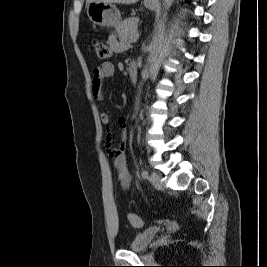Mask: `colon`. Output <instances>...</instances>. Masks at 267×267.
<instances>
[{
	"label": "colon",
	"mask_w": 267,
	"mask_h": 267,
	"mask_svg": "<svg viewBox=\"0 0 267 267\" xmlns=\"http://www.w3.org/2000/svg\"><path fill=\"white\" fill-rule=\"evenodd\" d=\"M94 49H95L96 55L101 59H106V58H109L111 56L110 47L107 44H105L99 40H96L94 42ZM128 220H129L130 224L135 228H140L143 225L142 219L134 213H130L128 215Z\"/></svg>",
	"instance_id": "obj_1"
}]
</instances>
